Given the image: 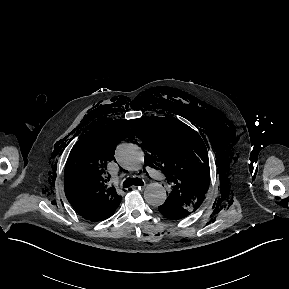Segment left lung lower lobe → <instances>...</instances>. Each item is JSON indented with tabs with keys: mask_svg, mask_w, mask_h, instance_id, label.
Segmentation results:
<instances>
[{
	"mask_svg": "<svg viewBox=\"0 0 289 289\" xmlns=\"http://www.w3.org/2000/svg\"><path fill=\"white\" fill-rule=\"evenodd\" d=\"M158 210L163 216L171 220L183 219L191 214V212L185 208L175 207L166 203L159 206Z\"/></svg>",
	"mask_w": 289,
	"mask_h": 289,
	"instance_id": "obj_1",
	"label": "left lung lower lobe"
}]
</instances>
